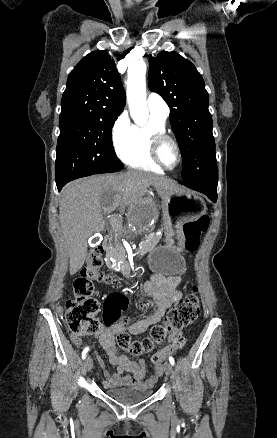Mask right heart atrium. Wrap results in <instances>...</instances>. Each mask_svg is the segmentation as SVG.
I'll list each match as a JSON object with an SVG mask.
<instances>
[{
	"label": "right heart atrium",
	"mask_w": 277,
	"mask_h": 438,
	"mask_svg": "<svg viewBox=\"0 0 277 438\" xmlns=\"http://www.w3.org/2000/svg\"><path fill=\"white\" fill-rule=\"evenodd\" d=\"M131 125L126 118L121 115L115 122L112 130L114 143L117 149H119L128 139Z\"/></svg>",
	"instance_id": "d8ad5b80"
}]
</instances>
